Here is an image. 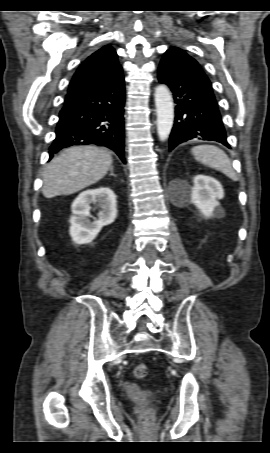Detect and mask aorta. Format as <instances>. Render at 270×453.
<instances>
[{
  "label": "aorta",
  "mask_w": 270,
  "mask_h": 453,
  "mask_svg": "<svg viewBox=\"0 0 270 453\" xmlns=\"http://www.w3.org/2000/svg\"><path fill=\"white\" fill-rule=\"evenodd\" d=\"M157 133L160 141H165L171 132L174 121V105L170 90L166 85H159L154 93Z\"/></svg>",
  "instance_id": "aorta-1"
}]
</instances>
